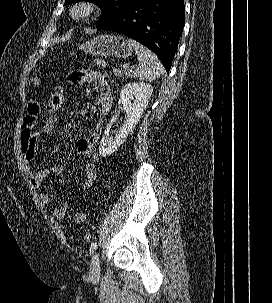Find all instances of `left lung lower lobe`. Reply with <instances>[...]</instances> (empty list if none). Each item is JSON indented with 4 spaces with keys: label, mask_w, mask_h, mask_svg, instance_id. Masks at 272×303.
Here are the masks:
<instances>
[{
    "label": "left lung lower lobe",
    "mask_w": 272,
    "mask_h": 303,
    "mask_svg": "<svg viewBox=\"0 0 272 303\" xmlns=\"http://www.w3.org/2000/svg\"><path fill=\"white\" fill-rule=\"evenodd\" d=\"M183 0H138L98 30L124 34L152 50L169 72L185 19Z\"/></svg>",
    "instance_id": "1"
}]
</instances>
